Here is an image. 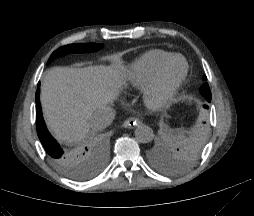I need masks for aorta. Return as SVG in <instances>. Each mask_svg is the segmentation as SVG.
Instances as JSON below:
<instances>
[{
  "mask_svg": "<svg viewBox=\"0 0 254 216\" xmlns=\"http://www.w3.org/2000/svg\"><path fill=\"white\" fill-rule=\"evenodd\" d=\"M154 137V132L147 125H138L135 129V138L140 143H149Z\"/></svg>",
  "mask_w": 254,
  "mask_h": 216,
  "instance_id": "aorta-1",
  "label": "aorta"
}]
</instances>
